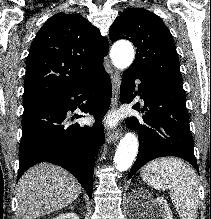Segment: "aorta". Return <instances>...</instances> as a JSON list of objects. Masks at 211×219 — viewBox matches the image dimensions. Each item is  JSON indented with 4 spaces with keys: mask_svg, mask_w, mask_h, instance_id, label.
Wrapping results in <instances>:
<instances>
[{
    "mask_svg": "<svg viewBox=\"0 0 211 219\" xmlns=\"http://www.w3.org/2000/svg\"><path fill=\"white\" fill-rule=\"evenodd\" d=\"M115 67L118 69L128 68L134 59V49L129 42L115 44L110 53ZM138 152V140L132 133H127L117 147L114 162L119 171L128 170L134 162Z\"/></svg>",
    "mask_w": 211,
    "mask_h": 219,
    "instance_id": "1",
    "label": "aorta"
}]
</instances>
